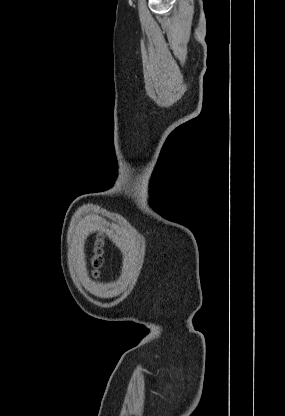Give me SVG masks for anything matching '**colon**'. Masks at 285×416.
<instances>
[{"mask_svg":"<svg viewBox=\"0 0 285 416\" xmlns=\"http://www.w3.org/2000/svg\"><path fill=\"white\" fill-rule=\"evenodd\" d=\"M101 254H102V244L100 241H97L94 246L93 256L91 259L92 273L94 275H97L98 269L101 265Z\"/></svg>","mask_w":285,"mask_h":416,"instance_id":"obj_1","label":"colon"}]
</instances>
